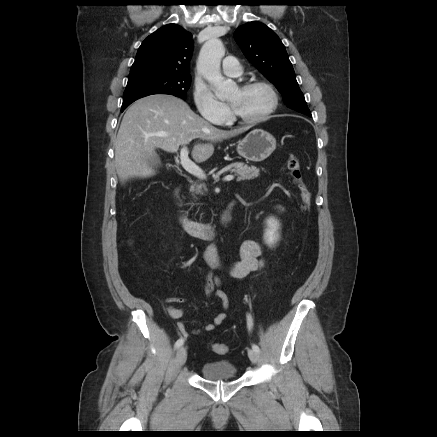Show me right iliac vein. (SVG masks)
Instances as JSON below:
<instances>
[{
    "mask_svg": "<svg viewBox=\"0 0 437 437\" xmlns=\"http://www.w3.org/2000/svg\"><path fill=\"white\" fill-rule=\"evenodd\" d=\"M187 360V350L184 347H180L176 354L177 366H183Z\"/></svg>",
    "mask_w": 437,
    "mask_h": 437,
    "instance_id": "right-iliac-vein-1",
    "label": "right iliac vein"
}]
</instances>
